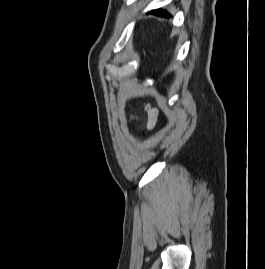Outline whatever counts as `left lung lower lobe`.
Wrapping results in <instances>:
<instances>
[{"mask_svg": "<svg viewBox=\"0 0 265 269\" xmlns=\"http://www.w3.org/2000/svg\"><path fill=\"white\" fill-rule=\"evenodd\" d=\"M150 13L155 14L157 16H163V17H169L170 14L167 11L161 10V9H156L152 10Z\"/></svg>", "mask_w": 265, "mask_h": 269, "instance_id": "left-lung-lower-lobe-1", "label": "left lung lower lobe"}]
</instances>
